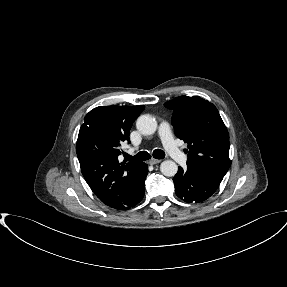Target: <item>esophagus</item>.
<instances>
[{"mask_svg": "<svg viewBox=\"0 0 287 287\" xmlns=\"http://www.w3.org/2000/svg\"><path fill=\"white\" fill-rule=\"evenodd\" d=\"M160 162H161V160L152 158V159L149 161V164H150V165H155V164H158V163H160Z\"/></svg>", "mask_w": 287, "mask_h": 287, "instance_id": "34e87169", "label": "esophagus"}]
</instances>
